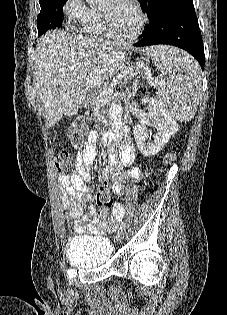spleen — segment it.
<instances>
[{
  "mask_svg": "<svg viewBox=\"0 0 227 315\" xmlns=\"http://www.w3.org/2000/svg\"><path fill=\"white\" fill-rule=\"evenodd\" d=\"M147 55L165 77L158 84L152 85L160 87L158 102L175 120L190 121L196 113L201 95L198 63L173 47H152Z\"/></svg>",
  "mask_w": 227,
  "mask_h": 315,
  "instance_id": "obj_1",
  "label": "spleen"
}]
</instances>
